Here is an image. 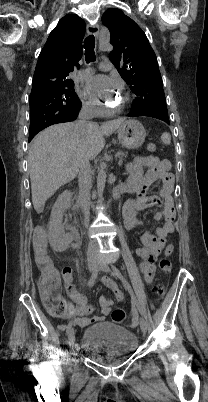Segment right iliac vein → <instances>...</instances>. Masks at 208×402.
<instances>
[{
	"label": "right iliac vein",
	"mask_w": 208,
	"mask_h": 402,
	"mask_svg": "<svg viewBox=\"0 0 208 402\" xmlns=\"http://www.w3.org/2000/svg\"><path fill=\"white\" fill-rule=\"evenodd\" d=\"M87 265H88V270L89 272L93 273L97 267V260L96 258L90 257L87 260ZM68 344L72 348V350L75 347V332L74 329H71L69 335H68Z\"/></svg>",
	"instance_id": "obj_1"
}]
</instances>
